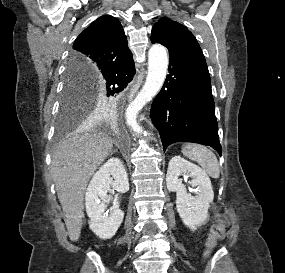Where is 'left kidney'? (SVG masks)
I'll return each instance as SVG.
<instances>
[{
  "label": "left kidney",
  "mask_w": 285,
  "mask_h": 273,
  "mask_svg": "<svg viewBox=\"0 0 285 273\" xmlns=\"http://www.w3.org/2000/svg\"><path fill=\"white\" fill-rule=\"evenodd\" d=\"M192 178L189 184L196 187L195 196L187 193L180 175ZM167 189L176 192V207L183 223L191 230H196L208 217V209L213 201L214 192L207 174L197 165L174 156L168 165L166 175Z\"/></svg>",
  "instance_id": "1"
}]
</instances>
